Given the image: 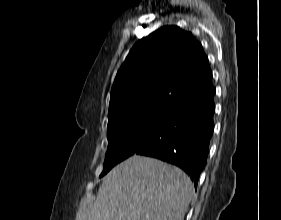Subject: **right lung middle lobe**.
Segmentation results:
<instances>
[{"instance_id":"obj_1","label":"right lung middle lobe","mask_w":281,"mask_h":220,"mask_svg":"<svg viewBox=\"0 0 281 220\" xmlns=\"http://www.w3.org/2000/svg\"><path fill=\"white\" fill-rule=\"evenodd\" d=\"M169 114L160 112L127 115L108 124V148L103 172L133 155L162 126Z\"/></svg>"}]
</instances>
